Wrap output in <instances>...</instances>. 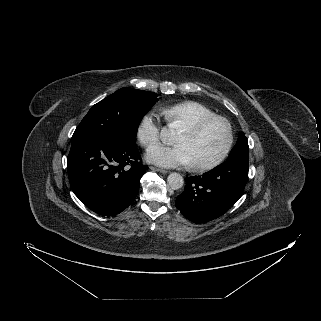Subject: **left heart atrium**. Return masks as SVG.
<instances>
[{"label": "left heart atrium", "mask_w": 321, "mask_h": 321, "mask_svg": "<svg viewBox=\"0 0 321 321\" xmlns=\"http://www.w3.org/2000/svg\"><path fill=\"white\" fill-rule=\"evenodd\" d=\"M146 159L155 165L174 168L192 164L191 153L185 144L166 146L157 144L151 146L146 152Z\"/></svg>", "instance_id": "39dd6f15"}]
</instances>
